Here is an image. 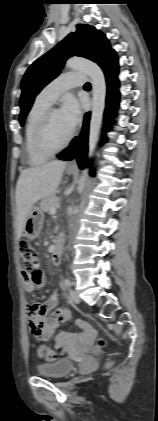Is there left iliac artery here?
I'll return each mask as SVG.
<instances>
[{
    "mask_svg": "<svg viewBox=\"0 0 158 421\" xmlns=\"http://www.w3.org/2000/svg\"><path fill=\"white\" fill-rule=\"evenodd\" d=\"M64 284H65L66 286H71L73 283H72L69 279H65V280H64Z\"/></svg>",
    "mask_w": 158,
    "mask_h": 421,
    "instance_id": "left-iliac-artery-1",
    "label": "left iliac artery"
}]
</instances>
